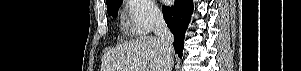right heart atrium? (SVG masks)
Listing matches in <instances>:
<instances>
[{
	"instance_id": "d8ad5b80",
	"label": "right heart atrium",
	"mask_w": 301,
	"mask_h": 71,
	"mask_svg": "<svg viewBox=\"0 0 301 71\" xmlns=\"http://www.w3.org/2000/svg\"><path fill=\"white\" fill-rule=\"evenodd\" d=\"M127 24L137 36L150 33L160 22L161 16L152 0H127Z\"/></svg>"
}]
</instances>
